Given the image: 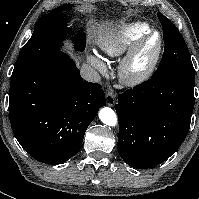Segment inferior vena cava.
I'll return each instance as SVG.
<instances>
[{
	"mask_svg": "<svg viewBox=\"0 0 199 199\" xmlns=\"http://www.w3.org/2000/svg\"><path fill=\"white\" fill-rule=\"evenodd\" d=\"M80 73L84 80L94 83H99L101 80L99 73L90 66L83 65L81 67Z\"/></svg>",
	"mask_w": 199,
	"mask_h": 199,
	"instance_id": "obj_1",
	"label": "inferior vena cava"
}]
</instances>
